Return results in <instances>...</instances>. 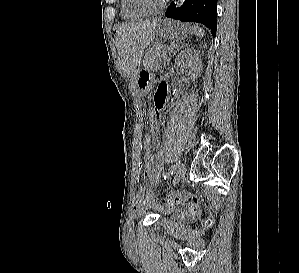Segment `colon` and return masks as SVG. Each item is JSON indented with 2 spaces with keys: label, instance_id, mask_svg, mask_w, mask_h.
<instances>
[{
  "label": "colon",
  "instance_id": "5ec220e1",
  "mask_svg": "<svg viewBox=\"0 0 299 273\" xmlns=\"http://www.w3.org/2000/svg\"><path fill=\"white\" fill-rule=\"evenodd\" d=\"M153 141V132H147L144 135L143 146H150L153 144ZM163 204L166 207H172L176 204H185L190 208L194 216H199L200 214L198 198L195 195H192L185 191L168 192L165 198L163 199Z\"/></svg>",
  "mask_w": 299,
  "mask_h": 273
}]
</instances>
